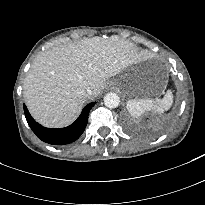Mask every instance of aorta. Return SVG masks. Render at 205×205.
I'll use <instances>...</instances> for the list:
<instances>
[{"label": "aorta", "instance_id": "762f6f07", "mask_svg": "<svg viewBox=\"0 0 205 205\" xmlns=\"http://www.w3.org/2000/svg\"><path fill=\"white\" fill-rule=\"evenodd\" d=\"M104 104L106 107L113 109L119 106L120 104V99L119 96L116 93H107L104 96Z\"/></svg>", "mask_w": 205, "mask_h": 205}]
</instances>
